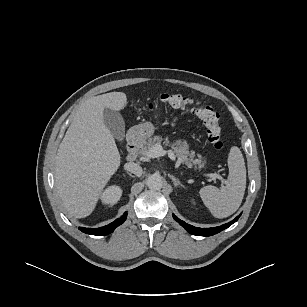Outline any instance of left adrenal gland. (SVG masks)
Instances as JSON below:
<instances>
[{
	"instance_id": "left-adrenal-gland-1",
	"label": "left adrenal gland",
	"mask_w": 307,
	"mask_h": 307,
	"mask_svg": "<svg viewBox=\"0 0 307 307\" xmlns=\"http://www.w3.org/2000/svg\"><path fill=\"white\" fill-rule=\"evenodd\" d=\"M168 176L173 181V184H174L175 187H178V186L184 187V185L181 184L179 179H177L176 177H174L173 175H170V174H168Z\"/></svg>"
}]
</instances>
